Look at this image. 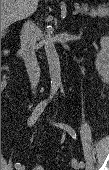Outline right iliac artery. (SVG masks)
<instances>
[{
	"label": "right iliac artery",
	"mask_w": 109,
	"mask_h": 170,
	"mask_svg": "<svg viewBox=\"0 0 109 170\" xmlns=\"http://www.w3.org/2000/svg\"><path fill=\"white\" fill-rule=\"evenodd\" d=\"M46 106L45 102H41L39 103L36 108L34 109L32 115L28 118L27 124L28 126H33L35 124V122L37 121V119L40 117V115L42 114L44 108ZM21 164L20 163H15V168L17 169L18 167H20Z\"/></svg>",
	"instance_id": "obj_1"
}]
</instances>
